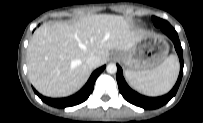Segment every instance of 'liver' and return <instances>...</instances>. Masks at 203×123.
Segmentation results:
<instances>
[{
	"instance_id": "6515ba94",
	"label": "liver",
	"mask_w": 203,
	"mask_h": 123,
	"mask_svg": "<svg viewBox=\"0 0 203 123\" xmlns=\"http://www.w3.org/2000/svg\"><path fill=\"white\" fill-rule=\"evenodd\" d=\"M123 16L98 14L73 23L51 22L34 32L27 48L28 77L38 92L66 97L78 91L93 68L86 59L95 55L105 64L110 50L128 51L143 36Z\"/></svg>"
}]
</instances>
